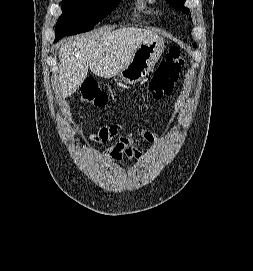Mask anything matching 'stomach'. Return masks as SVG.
<instances>
[{
    "instance_id": "0dacf381",
    "label": "stomach",
    "mask_w": 253,
    "mask_h": 271,
    "mask_svg": "<svg viewBox=\"0 0 253 271\" xmlns=\"http://www.w3.org/2000/svg\"><path fill=\"white\" fill-rule=\"evenodd\" d=\"M163 39H151L141 43L128 65L117 76L127 84H134L144 79L153 69L164 51Z\"/></svg>"
}]
</instances>
